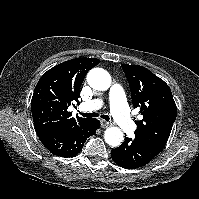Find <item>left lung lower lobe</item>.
<instances>
[{
	"instance_id": "left-lung-lower-lobe-1",
	"label": "left lung lower lobe",
	"mask_w": 199,
	"mask_h": 199,
	"mask_svg": "<svg viewBox=\"0 0 199 199\" xmlns=\"http://www.w3.org/2000/svg\"><path fill=\"white\" fill-rule=\"evenodd\" d=\"M160 152L137 138L131 139L125 136L122 145L111 151V156L117 165L126 169H135L145 166Z\"/></svg>"
}]
</instances>
